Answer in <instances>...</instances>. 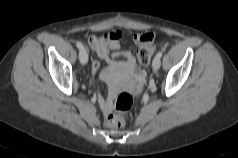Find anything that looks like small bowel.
I'll return each mask as SVG.
<instances>
[{
	"label": "small bowel",
	"instance_id": "c3829d8e",
	"mask_svg": "<svg viewBox=\"0 0 238 158\" xmlns=\"http://www.w3.org/2000/svg\"><path fill=\"white\" fill-rule=\"evenodd\" d=\"M146 35L152 36V39H142V37ZM121 39L122 33L120 31H113L105 33L102 36L92 35L87 40L88 45L90 46L92 51L97 55L99 59H101L107 64V68L101 72L100 76L101 79L109 82L111 86L115 85L114 78L112 76L114 73L132 75L134 77L135 82H140L144 77V73L138 71L136 66V60L132 53L129 51H119ZM134 41L137 44H151L153 41V34H137L134 38ZM120 56L123 58V62L121 63L115 61V58ZM99 68V61L94 60L92 62V72H98ZM99 103L105 113L108 114L111 111L112 105L109 99H104L101 97L99 98Z\"/></svg>",
	"mask_w": 238,
	"mask_h": 158
}]
</instances>
